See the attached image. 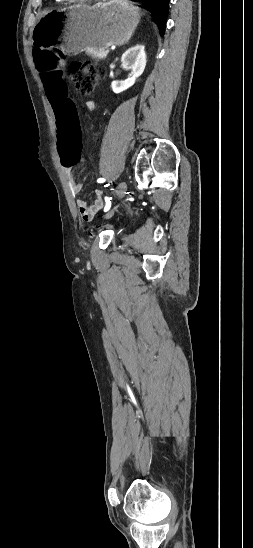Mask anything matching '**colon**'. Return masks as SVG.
<instances>
[{
    "label": "colon",
    "instance_id": "obj_1",
    "mask_svg": "<svg viewBox=\"0 0 253 548\" xmlns=\"http://www.w3.org/2000/svg\"><path fill=\"white\" fill-rule=\"evenodd\" d=\"M57 54L50 49H35L36 73L41 74L43 96H47V104L53 105V114L58 129L57 152L60 154L63 166H74L84 163L80 158L79 139L81 127L78 123L79 105L73 98L66 72L65 60H51ZM71 77L76 91L81 95L90 94L102 77L101 71L93 65L84 62H74L70 68Z\"/></svg>",
    "mask_w": 253,
    "mask_h": 548
}]
</instances>
